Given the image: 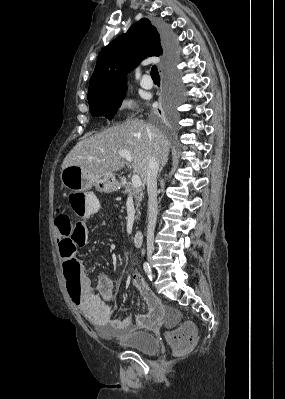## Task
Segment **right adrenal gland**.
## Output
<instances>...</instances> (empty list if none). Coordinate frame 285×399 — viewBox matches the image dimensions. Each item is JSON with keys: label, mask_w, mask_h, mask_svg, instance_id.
I'll return each instance as SVG.
<instances>
[{"label": "right adrenal gland", "mask_w": 285, "mask_h": 399, "mask_svg": "<svg viewBox=\"0 0 285 399\" xmlns=\"http://www.w3.org/2000/svg\"><path fill=\"white\" fill-rule=\"evenodd\" d=\"M163 170V166L160 167L159 169V173H161V171Z\"/></svg>", "instance_id": "right-adrenal-gland-1"}]
</instances>
